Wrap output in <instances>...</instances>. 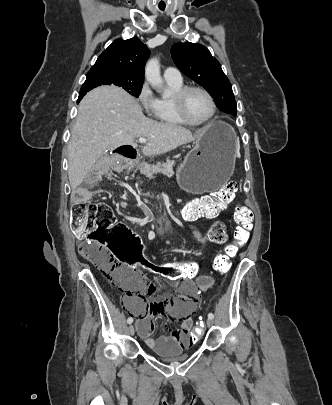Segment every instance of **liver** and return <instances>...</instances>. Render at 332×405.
<instances>
[{
    "instance_id": "liver-1",
    "label": "liver",
    "mask_w": 332,
    "mask_h": 405,
    "mask_svg": "<svg viewBox=\"0 0 332 405\" xmlns=\"http://www.w3.org/2000/svg\"><path fill=\"white\" fill-rule=\"evenodd\" d=\"M186 128L157 122L144 116L138 102L122 89L102 86L88 92L81 100L76 123L68 144V176L75 190L95 163L107 151L123 145H135L136 138H146L145 156H156L197 140Z\"/></svg>"
}]
</instances>
